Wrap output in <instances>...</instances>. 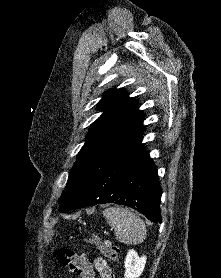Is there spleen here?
Here are the masks:
<instances>
[{"label":"spleen","instance_id":"1","mask_svg":"<svg viewBox=\"0 0 221 278\" xmlns=\"http://www.w3.org/2000/svg\"><path fill=\"white\" fill-rule=\"evenodd\" d=\"M107 222L114 227L115 238L125 244L142 242L146 237L143 220L122 207H109L103 211Z\"/></svg>","mask_w":221,"mask_h":278}]
</instances>
